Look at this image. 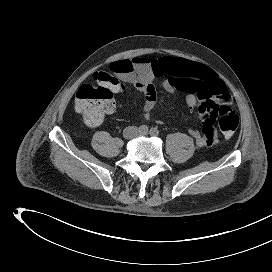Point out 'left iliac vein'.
<instances>
[{
    "instance_id": "obj_1",
    "label": "left iliac vein",
    "mask_w": 272,
    "mask_h": 272,
    "mask_svg": "<svg viewBox=\"0 0 272 272\" xmlns=\"http://www.w3.org/2000/svg\"><path fill=\"white\" fill-rule=\"evenodd\" d=\"M140 135L145 136L146 134L145 133H140Z\"/></svg>"
}]
</instances>
